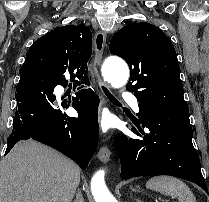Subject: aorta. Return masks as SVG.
<instances>
[{
	"label": "aorta",
	"mask_w": 209,
	"mask_h": 202,
	"mask_svg": "<svg viewBox=\"0 0 209 202\" xmlns=\"http://www.w3.org/2000/svg\"><path fill=\"white\" fill-rule=\"evenodd\" d=\"M102 74L112 87L120 88L128 81L129 69L124 61L108 58L105 61ZM104 175V170H99L91 179V192L94 200L95 202H117L105 184Z\"/></svg>",
	"instance_id": "1"
}]
</instances>
